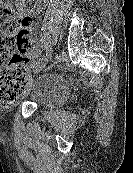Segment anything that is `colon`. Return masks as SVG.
<instances>
[{"instance_id":"obj_1","label":"colon","mask_w":133,"mask_h":173,"mask_svg":"<svg viewBox=\"0 0 133 173\" xmlns=\"http://www.w3.org/2000/svg\"><path fill=\"white\" fill-rule=\"evenodd\" d=\"M32 21L0 6V104L15 102L25 86L23 62L31 50Z\"/></svg>"}]
</instances>
